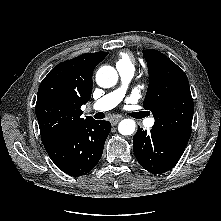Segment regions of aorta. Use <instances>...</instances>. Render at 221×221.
<instances>
[{
    "label": "aorta",
    "instance_id": "aorta-1",
    "mask_svg": "<svg viewBox=\"0 0 221 221\" xmlns=\"http://www.w3.org/2000/svg\"><path fill=\"white\" fill-rule=\"evenodd\" d=\"M118 81L117 71L111 66H102L96 73V82L100 87H113ZM136 124L132 119H124L118 125V131L122 135H132Z\"/></svg>",
    "mask_w": 221,
    "mask_h": 221
}]
</instances>
